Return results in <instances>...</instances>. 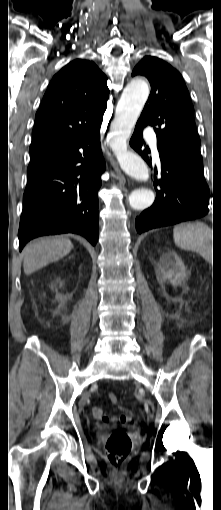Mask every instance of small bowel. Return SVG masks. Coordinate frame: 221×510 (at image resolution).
<instances>
[{
    "label": "small bowel",
    "instance_id": "obj_1",
    "mask_svg": "<svg viewBox=\"0 0 221 510\" xmlns=\"http://www.w3.org/2000/svg\"><path fill=\"white\" fill-rule=\"evenodd\" d=\"M92 412L95 418L100 419L104 422H113L116 420V417L106 415L103 407L100 404L95 406Z\"/></svg>",
    "mask_w": 221,
    "mask_h": 510
}]
</instances>
